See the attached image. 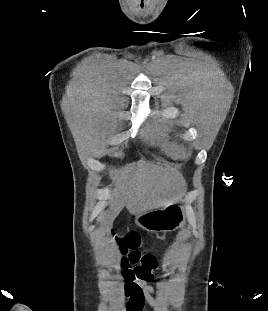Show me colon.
<instances>
[{
  "mask_svg": "<svg viewBox=\"0 0 268 311\" xmlns=\"http://www.w3.org/2000/svg\"><path fill=\"white\" fill-rule=\"evenodd\" d=\"M118 243L122 254V274L128 293L132 290V285L136 280L151 281L154 278L157 259L152 254H144L139 251L140 238L135 232H129Z\"/></svg>",
  "mask_w": 268,
  "mask_h": 311,
  "instance_id": "5ec220e1",
  "label": "colon"
}]
</instances>
